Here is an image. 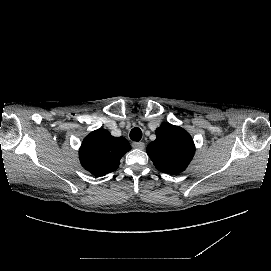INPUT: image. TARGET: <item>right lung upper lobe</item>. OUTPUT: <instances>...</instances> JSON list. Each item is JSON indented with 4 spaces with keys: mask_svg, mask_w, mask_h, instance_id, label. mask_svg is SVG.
<instances>
[{
    "mask_svg": "<svg viewBox=\"0 0 271 271\" xmlns=\"http://www.w3.org/2000/svg\"><path fill=\"white\" fill-rule=\"evenodd\" d=\"M131 149L124 137H113L107 130L91 132L79 150L82 166L91 174L103 176L115 171L122 156Z\"/></svg>",
    "mask_w": 271,
    "mask_h": 271,
    "instance_id": "right-lung-upper-lobe-1",
    "label": "right lung upper lobe"
}]
</instances>
